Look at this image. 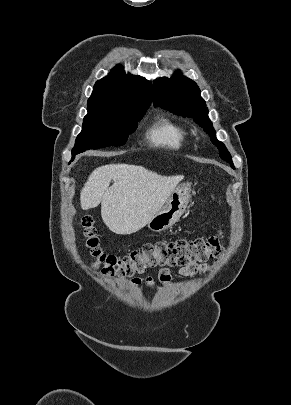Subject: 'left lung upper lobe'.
Returning <instances> with one entry per match:
<instances>
[{
  "instance_id": "obj_1",
  "label": "left lung upper lobe",
  "mask_w": 291,
  "mask_h": 405,
  "mask_svg": "<svg viewBox=\"0 0 291 405\" xmlns=\"http://www.w3.org/2000/svg\"><path fill=\"white\" fill-rule=\"evenodd\" d=\"M153 104L177 115L192 117L210 135L212 143L219 149L221 159L234 168L230 153L225 145L216 139L205 101L194 81L182 75L158 79L154 83Z\"/></svg>"
}]
</instances>
